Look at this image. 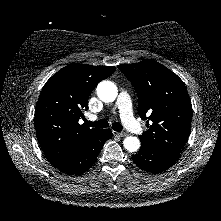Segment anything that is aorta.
<instances>
[{
	"label": "aorta",
	"mask_w": 221,
	"mask_h": 221,
	"mask_svg": "<svg viewBox=\"0 0 221 221\" xmlns=\"http://www.w3.org/2000/svg\"><path fill=\"white\" fill-rule=\"evenodd\" d=\"M97 95L103 102H113L117 95V86L111 81H102L97 86ZM124 148L129 152H135L140 148V141L137 137L128 136L123 141Z\"/></svg>",
	"instance_id": "1"
}]
</instances>
